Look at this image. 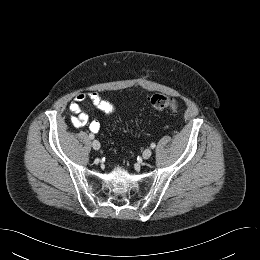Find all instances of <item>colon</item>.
<instances>
[{"label":"colon","mask_w":260,"mask_h":260,"mask_svg":"<svg viewBox=\"0 0 260 260\" xmlns=\"http://www.w3.org/2000/svg\"><path fill=\"white\" fill-rule=\"evenodd\" d=\"M151 106L157 111L170 110L177 111L179 108L178 102L164 94H154L150 98Z\"/></svg>","instance_id":"obj_1"}]
</instances>
